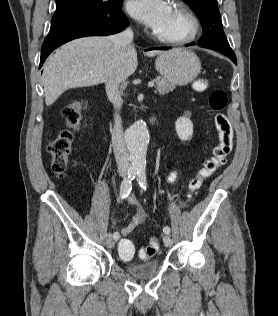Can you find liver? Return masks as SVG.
I'll return each mask as SVG.
<instances>
[{
	"label": "liver",
	"mask_w": 278,
	"mask_h": 316,
	"mask_svg": "<svg viewBox=\"0 0 278 316\" xmlns=\"http://www.w3.org/2000/svg\"><path fill=\"white\" fill-rule=\"evenodd\" d=\"M160 52H145L156 56ZM137 52L127 46L119 58L110 37H83L75 39L51 55L44 65L42 83L45 102L52 105L62 93L77 87L98 85L111 77L122 83L137 69Z\"/></svg>",
	"instance_id": "liver-1"
}]
</instances>
